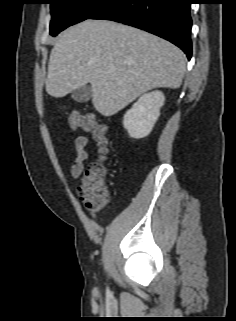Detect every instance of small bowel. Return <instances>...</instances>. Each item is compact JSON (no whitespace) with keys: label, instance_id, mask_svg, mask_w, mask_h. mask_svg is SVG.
<instances>
[{"label":"small bowel","instance_id":"1","mask_svg":"<svg viewBox=\"0 0 236 321\" xmlns=\"http://www.w3.org/2000/svg\"><path fill=\"white\" fill-rule=\"evenodd\" d=\"M89 142L88 137L86 136H78L74 140V148H75V157L72 161L70 171L73 178L78 179L81 177L84 171V163L88 159V153L85 150ZM85 208L87 212L93 217L97 216V212L99 209L92 208L91 206L85 204Z\"/></svg>","mask_w":236,"mask_h":321}]
</instances>
